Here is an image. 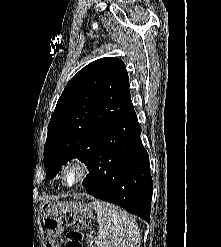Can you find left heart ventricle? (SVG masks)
Returning <instances> with one entry per match:
<instances>
[{"label": "left heart ventricle", "mask_w": 221, "mask_h": 247, "mask_svg": "<svg viewBox=\"0 0 221 247\" xmlns=\"http://www.w3.org/2000/svg\"><path fill=\"white\" fill-rule=\"evenodd\" d=\"M75 178H76V175L74 173H71L68 177V180L71 182V181L75 180Z\"/></svg>", "instance_id": "left-heart-ventricle-1"}]
</instances>
